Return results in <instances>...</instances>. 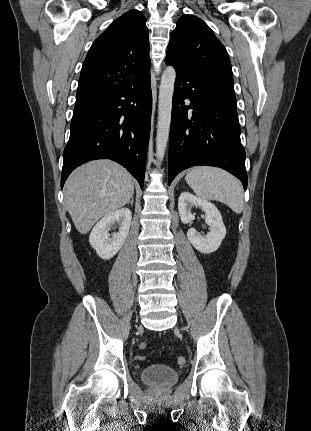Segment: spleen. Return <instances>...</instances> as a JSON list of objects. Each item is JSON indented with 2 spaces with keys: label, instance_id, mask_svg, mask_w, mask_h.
Returning <instances> with one entry per match:
<instances>
[{
  "label": "spleen",
  "instance_id": "3e777b00",
  "mask_svg": "<svg viewBox=\"0 0 311 431\" xmlns=\"http://www.w3.org/2000/svg\"><path fill=\"white\" fill-rule=\"evenodd\" d=\"M185 180L194 194L202 200L223 202L235 214H241L244 206L242 188L238 180L225 170L198 166L186 174Z\"/></svg>",
  "mask_w": 311,
  "mask_h": 431
}]
</instances>
